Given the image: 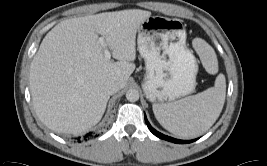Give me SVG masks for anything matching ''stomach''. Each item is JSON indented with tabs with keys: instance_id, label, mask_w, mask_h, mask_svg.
<instances>
[{
	"instance_id": "obj_1",
	"label": "stomach",
	"mask_w": 267,
	"mask_h": 166,
	"mask_svg": "<svg viewBox=\"0 0 267 166\" xmlns=\"http://www.w3.org/2000/svg\"><path fill=\"white\" fill-rule=\"evenodd\" d=\"M137 44L145 60L142 88L148 100L167 104L194 91L198 64L180 20L150 16L138 29Z\"/></svg>"
}]
</instances>
